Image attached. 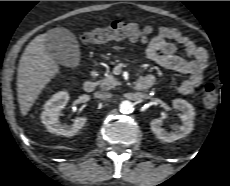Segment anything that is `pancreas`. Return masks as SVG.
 <instances>
[{
    "mask_svg": "<svg viewBox=\"0 0 230 186\" xmlns=\"http://www.w3.org/2000/svg\"><path fill=\"white\" fill-rule=\"evenodd\" d=\"M98 84L101 90L107 91L115 88L119 84V82L116 80V78L113 75L107 74V76L104 79L98 81Z\"/></svg>",
    "mask_w": 230,
    "mask_h": 186,
    "instance_id": "pancreas-1",
    "label": "pancreas"
}]
</instances>
